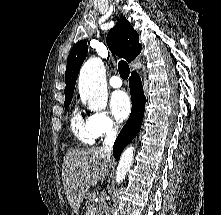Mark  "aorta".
<instances>
[{"instance_id":"obj_1","label":"aorta","mask_w":221,"mask_h":215,"mask_svg":"<svg viewBox=\"0 0 221 215\" xmlns=\"http://www.w3.org/2000/svg\"><path fill=\"white\" fill-rule=\"evenodd\" d=\"M79 93L88 108L102 111L107 106V84L105 67L100 58H91L81 68ZM134 146H128L121 154L116 170V182L120 184L126 177L134 157Z\"/></svg>"}]
</instances>
